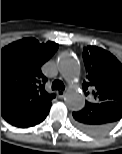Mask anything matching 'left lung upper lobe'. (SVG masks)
Listing matches in <instances>:
<instances>
[{"mask_svg": "<svg viewBox=\"0 0 122 154\" xmlns=\"http://www.w3.org/2000/svg\"><path fill=\"white\" fill-rule=\"evenodd\" d=\"M82 56L88 73L82 85L85 94H89L88 87H93L94 102H122V64L117 58L95 46L84 48Z\"/></svg>", "mask_w": 122, "mask_h": 154, "instance_id": "obj_1", "label": "left lung upper lobe"}]
</instances>
